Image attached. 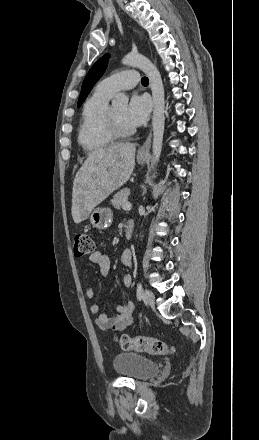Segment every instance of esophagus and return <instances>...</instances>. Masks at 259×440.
I'll return each instance as SVG.
<instances>
[{
	"instance_id": "34e87169",
	"label": "esophagus",
	"mask_w": 259,
	"mask_h": 440,
	"mask_svg": "<svg viewBox=\"0 0 259 440\" xmlns=\"http://www.w3.org/2000/svg\"><path fill=\"white\" fill-rule=\"evenodd\" d=\"M151 137H152V135H151V133H149V135L146 138L145 142L143 143V145L139 149V154L146 155V154L149 153L150 146H151Z\"/></svg>"
}]
</instances>
